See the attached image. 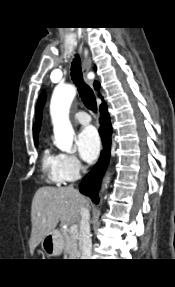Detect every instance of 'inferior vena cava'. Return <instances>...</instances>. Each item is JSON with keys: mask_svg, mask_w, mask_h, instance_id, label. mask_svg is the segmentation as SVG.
<instances>
[{"mask_svg": "<svg viewBox=\"0 0 175 287\" xmlns=\"http://www.w3.org/2000/svg\"><path fill=\"white\" fill-rule=\"evenodd\" d=\"M68 188L74 189L71 184ZM81 222H80V241H81V259H90L92 241L90 236V213L86 207H82L80 210Z\"/></svg>", "mask_w": 175, "mask_h": 287, "instance_id": "602c4592", "label": "inferior vena cava"}]
</instances>
